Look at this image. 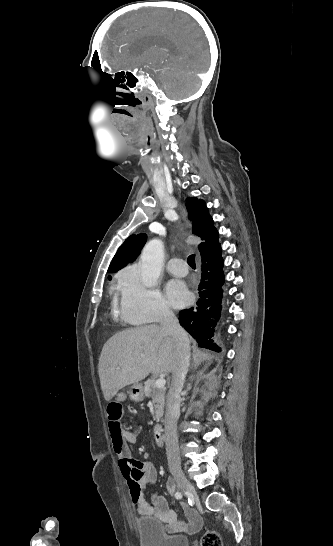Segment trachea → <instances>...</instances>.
I'll return each instance as SVG.
<instances>
[{
	"label": "trachea",
	"mask_w": 333,
	"mask_h": 546,
	"mask_svg": "<svg viewBox=\"0 0 333 546\" xmlns=\"http://www.w3.org/2000/svg\"><path fill=\"white\" fill-rule=\"evenodd\" d=\"M188 264L192 267V268H196V264H195V255L192 254L188 257Z\"/></svg>",
	"instance_id": "1"
}]
</instances>
